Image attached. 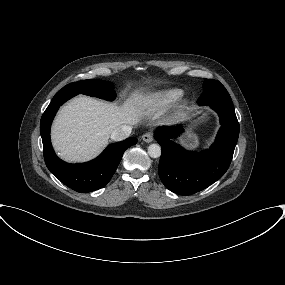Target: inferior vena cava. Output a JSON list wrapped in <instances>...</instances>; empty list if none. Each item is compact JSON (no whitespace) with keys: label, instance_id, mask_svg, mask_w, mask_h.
<instances>
[{"label":"inferior vena cava","instance_id":"obj_1","mask_svg":"<svg viewBox=\"0 0 285 285\" xmlns=\"http://www.w3.org/2000/svg\"><path fill=\"white\" fill-rule=\"evenodd\" d=\"M131 131H132L131 126L121 125L112 131L110 137L114 141H122L130 136Z\"/></svg>","mask_w":285,"mask_h":285}]
</instances>
